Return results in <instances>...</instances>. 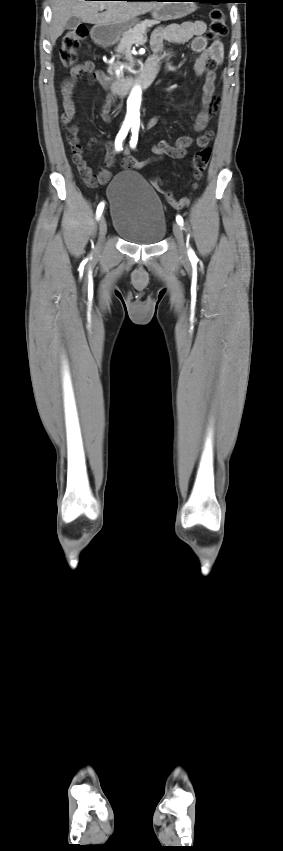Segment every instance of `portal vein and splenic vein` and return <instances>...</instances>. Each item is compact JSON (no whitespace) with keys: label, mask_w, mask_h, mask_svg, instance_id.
Returning a JSON list of instances; mask_svg holds the SVG:
<instances>
[{"label":"portal vein and splenic vein","mask_w":283,"mask_h":851,"mask_svg":"<svg viewBox=\"0 0 283 851\" xmlns=\"http://www.w3.org/2000/svg\"><path fill=\"white\" fill-rule=\"evenodd\" d=\"M100 9H101V10H103V9H104V7L102 6ZM145 42H146V41H145Z\"/></svg>","instance_id":"portal-vein-and-splenic-vein-1"}]
</instances>
